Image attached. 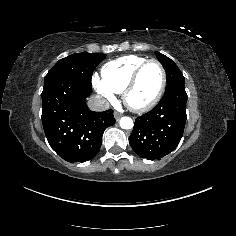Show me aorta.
<instances>
[{
  "mask_svg": "<svg viewBox=\"0 0 236 236\" xmlns=\"http://www.w3.org/2000/svg\"><path fill=\"white\" fill-rule=\"evenodd\" d=\"M119 126L123 129H130L133 127V120L128 116H123L119 119Z\"/></svg>",
  "mask_w": 236,
  "mask_h": 236,
  "instance_id": "obj_1",
  "label": "aorta"
}]
</instances>
